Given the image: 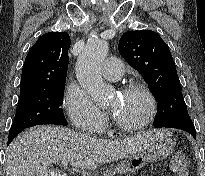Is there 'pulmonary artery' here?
<instances>
[{
  "label": "pulmonary artery",
  "mask_w": 205,
  "mask_h": 176,
  "mask_svg": "<svg viewBox=\"0 0 205 176\" xmlns=\"http://www.w3.org/2000/svg\"><path fill=\"white\" fill-rule=\"evenodd\" d=\"M102 75L108 80H118L124 74V65L116 57H108L101 68Z\"/></svg>",
  "instance_id": "1"
}]
</instances>
